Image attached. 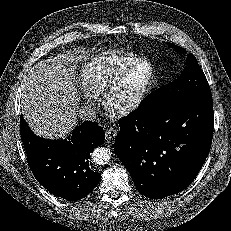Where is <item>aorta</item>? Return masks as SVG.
Segmentation results:
<instances>
[{"label": "aorta", "instance_id": "obj_1", "mask_svg": "<svg viewBox=\"0 0 231 231\" xmlns=\"http://www.w3.org/2000/svg\"><path fill=\"white\" fill-rule=\"evenodd\" d=\"M93 161L98 165H105L110 161L111 152L104 147L96 148L92 153Z\"/></svg>", "mask_w": 231, "mask_h": 231}]
</instances>
